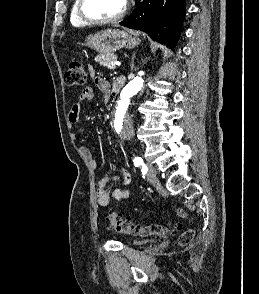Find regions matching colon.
<instances>
[{
	"mask_svg": "<svg viewBox=\"0 0 259 294\" xmlns=\"http://www.w3.org/2000/svg\"><path fill=\"white\" fill-rule=\"evenodd\" d=\"M86 72L79 61H71L68 65L64 79L67 86H82L86 82ZM181 216H185L183 211L179 210ZM107 224L111 230L119 234L133 236H160L173 231V227L162 224L152 223L142 225L134 223L131 219L123 217L118 212H111L107 217ZM194 236L193 230L184 231L179 237V244L185 246L190 243Z\"/></svg>",
	"mask_w": 259,
	"mask_h": 294,
	"instance_id": "1",
	"label": "colon"
}]
</instances>
